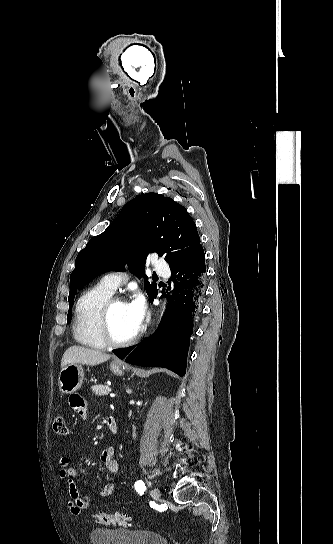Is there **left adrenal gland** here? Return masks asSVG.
I'll use <instances>...</instances> for the list:
<instances>
[{
    "mask_svg": "<svg viewBox=\"0 0 333 544\" xmlns=\"http://www.w3.org/2000/svg\"><path fill=\"white\" fill-rule=\"evenodd\" d=\"M127 392H128V394H132V390L129 389V388L127 389Z\"/></svg>",
    "mask_w": 333,
    "mask_h": 544,
    "instance_id": "obj_1",
    "label": "left adrenal gland"
}]
</instances>
